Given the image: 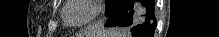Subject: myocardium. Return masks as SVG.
Masks as SVG:
<instances>
[{"label": "myocardium", "mask_w": 219, "mask_h": 37, "mask_svg": "<svg viewBox=\"0 0 219 37\" xmlns=\"http://www.w3.org/2000/svg\"><path fill=\"white\" fill-rule=\"evenodd\" d=\"M85 2H87L93 9L91 15L81 21V22H71L67 19V16H66V11L67 9L69 8L70 6V3L74 2V1H68L67 4H66V7H65V10L62 14V17H63V20L64 22L71 26V27H81V26H85V25H88L89 23H91L93 20H95L102 12V3L103 1L102 0H84Z\"/></svg>", "instance_id": "1"}]
</instances>
